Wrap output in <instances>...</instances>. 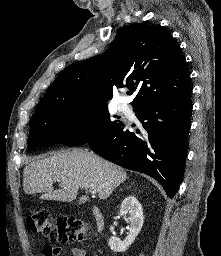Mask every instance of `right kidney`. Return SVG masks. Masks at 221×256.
Listing matches in <instances>:
<instances>
[{
  "instance_id": "obj_1",
  "label": "right kidney",
  "mask_w": 221,
  "mask_h": 256,
  "mask_svg": "<svg viewBox=\"0 0 221 256\" xmlns=\"http://www.w3.org/2000/svg\"><path fill=\"white\" fill-rule=\"evenodd\" d=\"M127 214L129 215L128 236L125 238L124 241H121L117 237L112 236L108 242L111 250L115 252H125L128 247L135 241L143 226L144 217L142 206L135 196H128L121 203L119 215L127 216Z\"/></svg>"
}]
</instances>
